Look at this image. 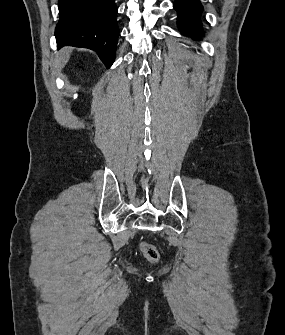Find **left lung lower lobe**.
<instances>
[{"label":"left lung lower lobe","mask_w":285,"mask_h":335,"mask_svg":"<svg viewBox=\"0 0 285 335\" xmlns=\"http://www.w3.org/2000/svg\"><path fill=\"white\" fill-rule=\"evenodd\" d=\"M178 12L177 23L180 31L192 37L202 35L200 14L203 10L200 0H175Z\"/></svg>","instance_id":"0a47b994"}]
</instances>
